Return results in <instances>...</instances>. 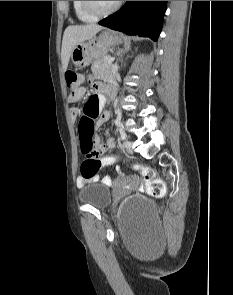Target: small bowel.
Wrapping results in <instances>:
<instances>
[{
	"label": "small bowel",
	"instance_id": "obj_1",
	"mask_svg": "<svg viewBox=\"0 0 233 295\" xmlns=\"http://www.w3.org/2000/svg\"><path fill=\"white\" fill-rule=\"evenodd\" d=\"M83 96H84V93L76 98L69 97V101L71 103H76L80 101L83 98ZM102 107H103V100L99 96L93 95L89 98V100L87 101L84 107L83 116L85 115L89 116L97 125L102 124L109 118V115H110L109 111H103ZM70 113L72 118L75 119L80 115L81 111L78 107H72L70 109ZM97 143H98V148L101 152H106L114 147V141L108 135L105 137L103 141L97 140ZM89 181H98V177L93 176L90 179L79 177L77 178L76 184L79 188H81ZM103 182L106 184H110L111 179L109 177H104Z\"/></svg>",
	"mask_w": 233,
	"mask_h": 295
}]
</instances>
